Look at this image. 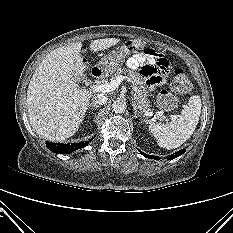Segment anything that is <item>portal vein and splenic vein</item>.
<instances>
[{
	"mask_svg": "<svg viewBox=\"0 0 233 233\" xmlns=\"http://www.w3.org/2000/svg\"><path fill=\"white\" fill-rule=\"evenodd\" d=\"M125 78H126L125 76L119 75L117 78L111 80L107 84L92 85L91 89L93 91H96V92H103V93L104 92H111V91H114L116 88H118L119 85L121 84V82L123 80H125ZM133 97H134V100L137 102V96H136L135 93L133 94ZM144 113H145L146 116H152L153 115V112H150V111H144ZM155 115L162 117V116H164V113L162 111H156ZM170 117L172 119H176L177 118V116H174V115H171Z\"/></svg>",
	"mask_w": 233,
	"mask_h": 233,
	"instance_id": "18ae733b",
	"label": "portal vein and splenic vein"
}]
</instances>
